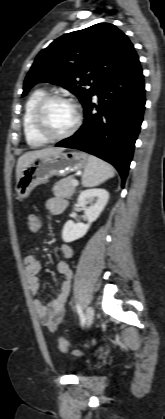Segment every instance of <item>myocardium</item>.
I'll return each mask as SVG.
<instances>
[{"label": "myocardium", "instance_id": "obj_1", "mask_svg": "<svg viewBox=\"0 0 165 419\" xmlns=\"http://www.w3.org/2000/svg\"><path fill=\"white\" fill-rule=\"evenodd\" d=\"M54 101H62L72 105L75 111V120L73 125L64 133L54 135L47 129L44 112L47 105ZM81 109L80 106L70 97L61 94H48L43 96L36 104L33 112V124L37 133L47 141H59L72 136L81 124Z\"/></svg>", "mask_w": 165, "mask_h": 419}]
</instances>
